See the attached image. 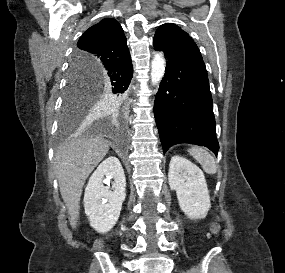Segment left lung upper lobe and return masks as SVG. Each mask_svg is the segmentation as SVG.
Listing matches in <instances>:
<instances>
[{
	"mask_svg": "<svg viewBox=\"0 0 285 273\" xmlns=\"http://www.w3.org/2000/svg\"><path fill=\"white\" fill-rule=\"evenodd\" d=\"M158 34H170V35L183 36L187 42L192 43L195 47H197V45L192 40V38L185 31H183L181 28H179L178 26L174 24L166 23V24L161 25L155 33V35H158Z\"/></svg>",
	"mask_w": 285,
	"mask_h": 273,
	"instance_id": "5c2ea615",
	"label": "left lung upper lobe"
}]
</instances>
